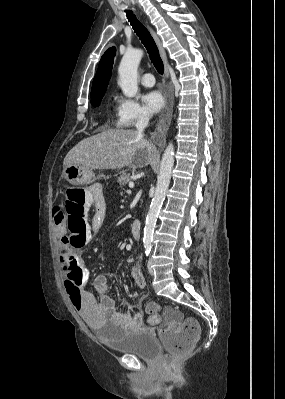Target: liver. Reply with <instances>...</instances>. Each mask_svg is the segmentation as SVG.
Masks as SVG:
<instances>
[{
  "label": "liver",
  "mask_w": 285,
  "mask_h": 399,
  "mask_svg": "<svg viewBox=\"0 0 285 399\" xmlns=\"http://www.w3.org/2000/svg\"><path fill=\"white\" fill-rule=\"evenodd\" d=\"M155 152V146L137 130L108 129L75 145L64 158L63 166L78 165L89 170L131 165L136 168L148 165Z\"/></svg>",
  "instance_id": "liver-1"
}]
</instances>
